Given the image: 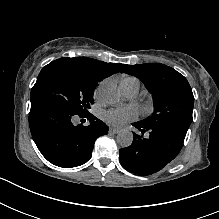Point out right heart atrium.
I'll return each instance as SVG.
<instances>
[{"instance_id":"1","label":"right heart atrium","mask_w":219,"mask_h":219,"mask_svg":"<svg viewBox=\"0 0 219 219\" xmlns=\"http://www.w3.org/2000/svg\"><path fill=\"white\" fill-rule=\"evenodd\" d=\"M102 84H103V82H102L100 85H98V86L94 89V91H93V98H94L95 100H97V99L100 98V95H101V86H102Z\"/></svg>"}]
</instances>
